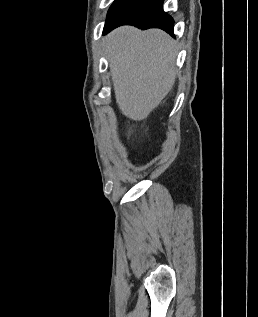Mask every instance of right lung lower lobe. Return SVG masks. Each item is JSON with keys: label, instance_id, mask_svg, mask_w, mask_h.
Listing matches in <instances>:
<instances>
[{"label": "right lung lower lobe", "instance_id": "98d812e1", "mask_svg": "<svg viewBox=\"0 0 258 317\" xmlns=\"http://www.w3.org/2000/svg\"><path fill=\"white\" fill-rule=\"evenodd\" d=\"M164 0H115L108 11L103 35L120 25L160 28L173 35L174 20L163 11Z\"/></svg>", "mask_w": 258, "mask_h": 317}]
</instances>
